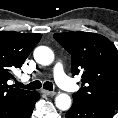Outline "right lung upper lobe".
Instances as JSON below:
<instances>
[{
  "label": "right lung upper lobe",
  "instance_id": "cb5924a9",
  "mask_svg": "<svg viewBox=\"0 0 118 118\" xmlns=\"http://www.w3.org/2000/svg\"><path fill=\"white\" fill-rule=\"evenodd\" d=\"M41 34L0 31V118H18L36 100V91L8 85L11 70L20 68L38 44Z\"/></svg>",
  "mask_w": 118,
  "mask_h": 118
}]
</instances>
